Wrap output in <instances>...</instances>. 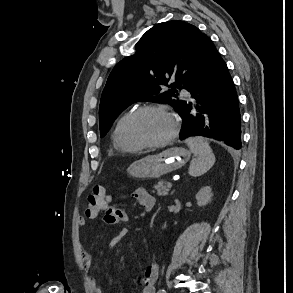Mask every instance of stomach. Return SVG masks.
<instances>
[{
	"label": "stomach",
	"mask_w": 293,
	"mask_h": 293,
	"mask_svg": "<svg viewBox=\"0 0 293 293\" xmlns=\"http://www.w3.org/2000/svg\"><path fill=\"white\" fill-rule=\"evenodd\" d=\"M189 159L190 152L188 150L173 147L133 162L127 171L132 177L138 179L160 178L181 168Z\"/></svg>",
	"instance_id": "obj_1"
}]
</instances>
